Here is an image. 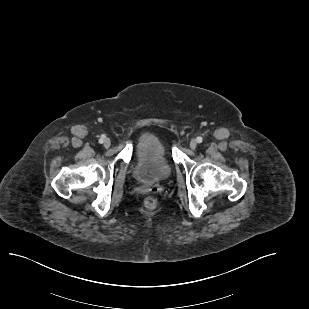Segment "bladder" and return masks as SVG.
Instances as JSON below:
<instances>
[{"label": "bladder", "mask_w": 309, "mask_h": 309, "mask_svg": "<svg viewBox=\"0 0 309 309\" xmlns=\"http://www.w3.org/2000/svg\"><path fill=\"white\" fill-rule=\"evenodd\" d=\"M172 164L162 141L154 135H144L135 149L134 178L145 184L161 182L172 174Z\"/></svg>", "instance_id": "31cf9c89"}]
</instances>
